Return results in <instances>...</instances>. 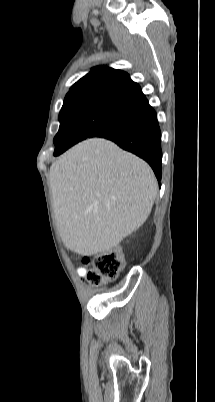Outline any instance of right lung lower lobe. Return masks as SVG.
<instances>
[{
  "instance_id": "1",
  "label": "right lung lower lobe",
  "mask_w": 215,
  "mask_h": 402,
  "mask_svg": "<svg viewBox=\"0 0 215 402\" xmlns=\"http://www.w3.org/2000/svg\"><path fill=\"white\" fill-rule=\"evenodd\" d=\"M103 138L145 160L153 169L157 180H161V131L156 112L148 103L126 126Z\"/></svg>"
}]
</instances>
